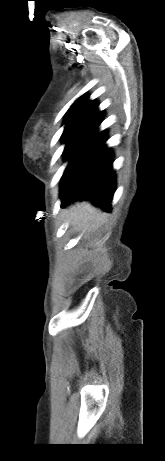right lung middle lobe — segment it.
I'll list each match as a JSON object with an SVG mask.
<instances>
[{"label":"right lung middle lobe","instance_id":"1","mask_svg":"<svg viewBox=\"0 0 165 461\" xmlns=\"http://www.w3.org/2000/svg\"><path fill=\"white\" fill-rule=\"evenodd\" d=\"M101 121V118L92 116H75L65 120L62 138L66 146L63 155L65 160H69L68 166L99 133Z\"/></svg>","mask_w":165,"mask_h":461}]
</instances>
